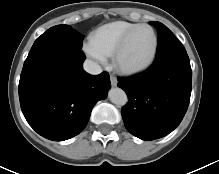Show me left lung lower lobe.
Instances as JSON below:
<instances>
[{
	"label": "left lung lower lobe",
	"mask_w": 219,
	"mask_h": 174,
	"mask_svg": "<svg viewBox=\"0 0 219 174\" xmlns=\"http://www.w3.org/2000/svg\"><path fill=\"white\" fill-rule=\"evenodd\" d=\"M117 85L129 99L121 111L126 129L142 140L164 137L180 124L189 105V57L186 52L165 53L145 72L118 78Z\"/></svg>",
	"instance_id": "1"
}]
</instances>
